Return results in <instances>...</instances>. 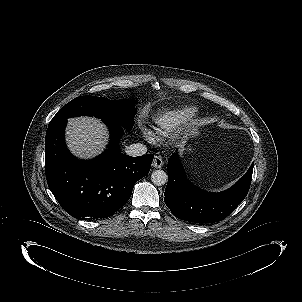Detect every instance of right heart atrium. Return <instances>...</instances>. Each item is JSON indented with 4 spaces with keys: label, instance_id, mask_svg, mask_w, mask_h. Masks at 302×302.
I'll use <instances>...</instances> for the list:
<instances>
[{
    "label": "right heart atrium",
    "instance_id": "1",
    "mask_svg": "<svg viewBox=\"0 0 302 302\" xmlns=\"http://www.w3.org/2000/svg\"><path fill=\"white\" fill-rule=\"evenodd\" d=\"M146 138H147L148 141H150V142L154 141V138H153L150 134H147V135H146Z\"/></svg>",
    "mask_w": 302,
    "mask_h": 302
}]
</instances>
